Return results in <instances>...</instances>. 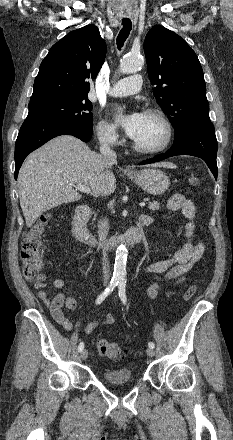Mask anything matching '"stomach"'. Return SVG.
<instances>
[{
  "mask_svg": "<svg viewBox=\"0 0 233 440\" xmlns=\"http://www.w3.org/2000/svg\"><path fill=\"white\" fill-rule=\"evenodd\" d=\"M129 178L151 195L163 194L170 185V179L160 169L148 168L133 174H128Z\"/></svg>",
  "mask_w": 233,
  "mask_h": 440,
  "instance_id": "obj_1",
  "label": "stomach"
}]
</instances>
